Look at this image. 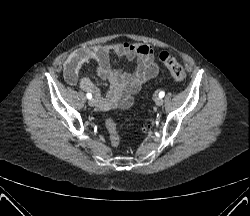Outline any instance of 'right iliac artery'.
<instances>
[{
  "mask_svg": "<svg viewBox=\"0 0 250 216\" xmlns=\"http://www.w3.org/2000/svg\"><path fill=\"white\" fill-rule=\"evenodd\" d=\"M86 96H87L88 99L92 98V94L91 93H87Z\"/></svg>",
  "mask_w": 250,
  "mask_h": 216,
  "instance_id": "82829eb1",
  "label": "right iliac artery"
}]
</instances>
